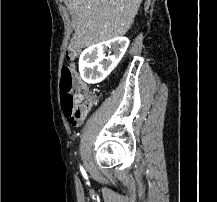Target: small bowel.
Listing matches in <instances>:
<instances>
[{
	"label": "small bowel",
	"instance_id": "obj_1",
	"mask_svg": "<svg viewBox=\"0 0 217 202\" xmlns=\"http://www.w3.org/2000/svg\"><path fill=\"white\" fill-rule=\"evenodd\" d=\"M77 120H78V121H85V120H86V117H85V116H78V117H77Z\"/></svg>",
	"mask_w": 217,
	"mask_h": 202
}]
</instances>
